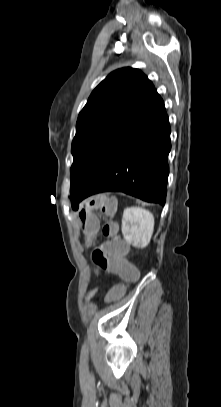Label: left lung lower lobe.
Returning a JSON list of instances; mask_svg holds the SVG:
<instances>
[{
    "label": "left lung lower lobe",
    "mask_w": 221,
    "mask_h": 407,
    "mask_svg": "<svg viewBox=\"0 0 221 407\" xmlns=\"http://www.w3.org/2000/svg\"><path fill=\"white\" fill-rule=\"evenodd\" d=\"M171 150L164 102L155 90L124 129L91 180L71 200L118 191L147 202L165 204Z\"/></svg>",
    "instance_id": "left-lung-lower-lobe-1"
}]
</instances>
